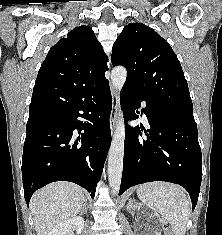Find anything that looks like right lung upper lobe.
<instances>
[{"label": "right lung upper lobe", "mask_w": 222, "mask_h": 235, "mask_svg": "<svg viewBox=\"0 0 222 235\" xmlns=\"http://www.w3.org/2000/svg\"><path fill=\"white\" fill-rule=\"evenodd\" d=\"M108 58L89 26L71 30L48 52L42 63L33 89L28 122L51 120V107L36 94L51 88L58 95L95 84L105 78Z\"/></svg>", "instance_id": "obj_1"}]
</instances>
